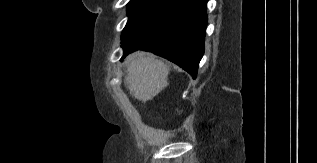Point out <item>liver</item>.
<instances>
[{
    "instance_id": "obj_1",
    "label": "liver",
    "mask_w": 317,
    "mask_h": 163,
    "mask_svg": "<svg viewBox=\"0 0 317 163\" xmlns=\"http://www.w3.org/2000/svg\"><path fill=\"white\" fill-rule=\"evenodd\" d=\"M126 69L124 83L130 95L142 102L153 99L168 86L169 67L143 52L129 55Z\"/></svg>"
}]
</instances>
